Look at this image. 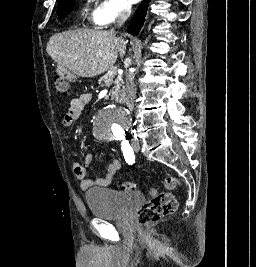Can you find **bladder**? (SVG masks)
Wrapping results in <instances>:
<instances>
[{"instance_id": "bladder-1", "label": "bladder", "mask_w": 256, "mask_h": 267, "mask_svg": "<svg viewBox=\"0 0 256 267\" xmlns=\"http://www.w3.org/2000/svg\"><path fill=\"white\" fill-rule=\"evenodd\" d=\"M90 213L102 219L121 218L139 204H144V195H122L115 190L91 189L85 194Z\"/></svg>"}]
</instances>
